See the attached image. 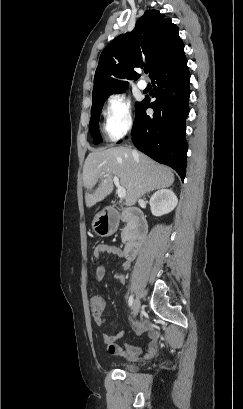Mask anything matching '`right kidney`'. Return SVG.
Returning a JSON list of instances; mask_svg holds the SVG:
<instances>
[{"label":"right kidney","mask_w":243,"mask_h":409,"mask_svg":"<svg viewBox=\"0 0 243 409\" xmlns=\"http://www.w3.org/2000/svg\"><path fill=\"white\" fill-rule=\"evenodd\" d=\"M149 203L152 214L162 216L174 210L178 199L172 190L160 189L151 196Z\"/></svg>","instance_id":"ca27d5eb"}]
</instances>
